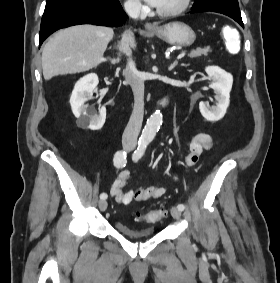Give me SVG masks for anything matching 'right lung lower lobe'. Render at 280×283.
<instances>
[{
	"instance_id": "1",
	"label": "right lung lower lobe",
	"mask_w": 280,
	"mask_h": 283,
	"mask_svg": "<svg viewBox=\"0 0 280 283\" xmlns=\"http://www.w3.org/2000/svg\"><path fill=\"white\" fill-rule=\"evenodd\" d=\"M126 14L119 0L107 5H69L44 11L41 20L39 44L58 29L80 24L116 27L125 22Z\"/></svg>"
}]
</instances>
